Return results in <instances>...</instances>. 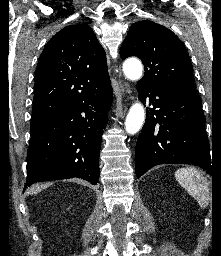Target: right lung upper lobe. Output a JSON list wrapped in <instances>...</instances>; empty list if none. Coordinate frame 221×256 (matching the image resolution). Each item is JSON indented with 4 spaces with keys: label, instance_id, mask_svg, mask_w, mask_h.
Segmentation results:
<instances>
[{
    "label": "right lung upper lobe",
    "instance_id": "obj_1",
    "mask_svg": "<svg viewBox=\"0 0 221 256\" xmlns=\"http://www.w3.org/2000/svg\"><path fill=\"white\" fill-rule=\"evenodd\" d=\"M110 85L106 54L93 30L83 24L66 26L40 56L32 119L90 98Z\"/></svg>",
    "mask_w": 221,
    "mask_h": 256
}]
</instances>
